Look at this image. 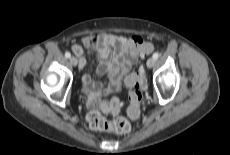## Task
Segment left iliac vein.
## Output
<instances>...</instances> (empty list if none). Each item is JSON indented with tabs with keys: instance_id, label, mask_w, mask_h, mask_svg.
Wrapping results in <instances>:
<instances>
[{
	"instance_id": "left-iliac-vein-1",
	"label": "left iliac vein",
	"mask_w": 230,
	"mask_h": 155,
	"mask_svg": "<svg viewBox=\"0 0 230 155\" xmlns=\"http://www.w3.org/2000/svg\"><path fill=\"white\" fill-rule=\"evenodd\" d=\"M154 64H155V59L154 58H149L147 60L146 65H147L148 68H152L154 66Z\"/></svg>"
}]
</instances>
